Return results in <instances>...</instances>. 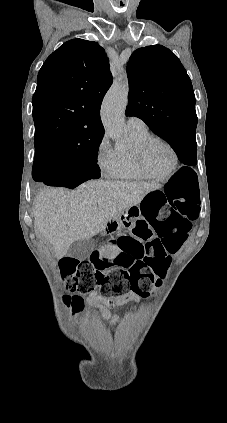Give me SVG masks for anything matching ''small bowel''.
Masks as SVG:
<instances>
[{"instance_id":"c3829d8e","label":"small bowel","mask_w":227,"mask_h":423,"mask_svg":"<svg viewBox=\"0 0 227 423\" xmlns=\"http://www.w3.org/2000/svg\"><path fill=\"white\" fill-rule=\"evenodd\" d=\"M138 222H142V223H145L146 225H148V223H147V221L145 220L144 217L140 218L138 220ZM116 253H117V250L114 248V251H113V254L111 255V258H113V256H115ZM88 301L99 303L100 313H101L102 317L105 320L110 321V323L113 326H116L121 321L122 318L120 316H112L110 311H109V308L122 306L125 303H127L128 301L138 302L139 296L135 293H129L126 296H123V297L107 298V297L99 295L98 292L95 291L89 296Z\"/></svg>"}]
</instances>
